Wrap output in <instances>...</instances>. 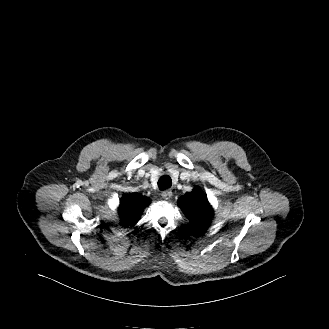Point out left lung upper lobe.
I'll return each mask as SVG.
<instances>
[{
    "instance_id": "5c2ea615",
    "label": "left lung upper lobe",
    "mask_w": 329,
    "mask_h": 329,
    "mask_svg": "<svg viewBox=\"0 0 329 329\" xmlns=\"http://www.w3.org/2000/svg\"><path fill=\"white\" fill-rule=\"evenodd\" d=\"M178 204L192 225L198 230L208 227L213 216V209L206 195L198 188L179 198Z\"/></svg>"
}]
</instances>
